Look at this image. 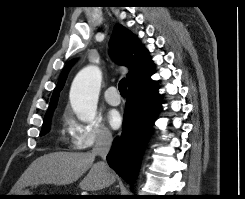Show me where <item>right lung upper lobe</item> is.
Segmentation results:
<instances>
[{
	"label": "right lung upper lobe",
	"mask_w": 245,
	"mask_h": 199,
	"mask_svg": "<svg viewBox=\"0 0 245 199\" xmlns=\"http://www.w3.org/2000/svg\"><path fill=\"white\" fill-rule=\"evenodd\" d=\"M110 49L113 58L119 64L129 68L128 89H144L154 83L151 79V75L154 73V64L148 50L139 43L134 34L121 24H116L114 28ZM72 63L73 61H69L62 70L45 116L55 110L59 93L64 87Z\"/></svg>",
	"instance_id": "right-lung-upper-lobe-1"
}]
</instances>
